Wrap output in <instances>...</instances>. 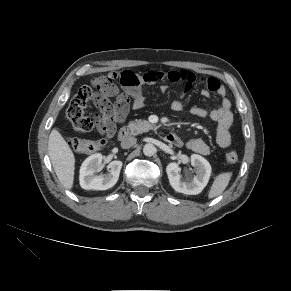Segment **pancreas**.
Returning a JSON list of instances; mask_svg holds the SVG:
<instances>
[{
    "instance_id": "obj_1",
    "label": "pancreas",
    "mask_w": 291,
    "mask_h": 291,
    "mask_svg": "<svg viewBox=\"0 0 291 291\" xmlns=\"http://www.w3.org/2000/svg\"><path fill=\"white\" fill-rule=\"evenodd\" d=\"M127 127L132 135H138L153 129L154 125L146 120H136L129 122Z\"/></svg>"
}]
</instances>
